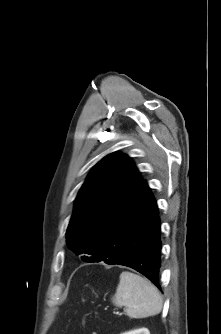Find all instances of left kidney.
<instances>
[{
	"mask_svg": "<svg viewBox=\"0 0 221 334\" xmlns=\"http://www.w3.org/2000/svg\"><path fill=\"white\" fill-rule=\"evenodd\" d=\"M121 334H150L149 330L146 328L137 329L134 331H129Z\"/></svg>",
	"mask_w": 221,
	"mask_h": 334,
	"instance_id": "5707ae66",
	"label": "left kidney"
}]
</instances>
